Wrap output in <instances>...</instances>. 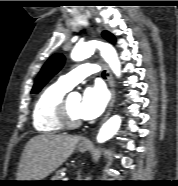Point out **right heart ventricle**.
<instances>
[{"mask_svg": "<svg viewBox=\"0 0 178 186\" xmlns=\"http://www.w3.org/2000/svg\"><path fill=\"white\" fill-rule=\"evenodd\" d=\"M67 91L56 83L46 88L37 98L32 112V123L36 131L53 134L62 130L55 119V110Z\"/></svg>", "mask_w": 178, "mask_h": 186, "instance_id": "1", "label": "right heart ventricle"}]
</instances>
